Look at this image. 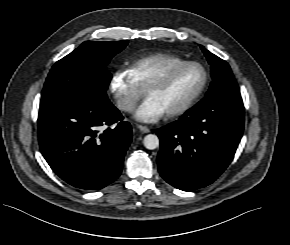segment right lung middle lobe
Instances as JSON below:
<instances>
[{
	"label": "right lung middle lobe",
	"mask_w": 290,
	"mask_h": 245,
	"mask_svg": "<svg viewBox=\"0 0 290 245\" xmlns=\"http://www.w3.org/2000/svg\"><path fill=\"white\" fill-rule=\"evenodd\" d=\"M127 44L128 40L85 41L57 61L44 84L40 108L66 104L85 97L108 100L106 90L112 76L106 66Z\"/></svg>",
	"instance_id": "dd1d6c3e"
}]
</instances>
